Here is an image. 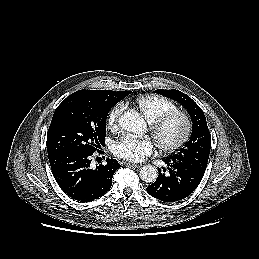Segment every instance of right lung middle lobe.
Instances as JSON below:
<instances>
[{
  "label": "right lung middle lobe",
  "instance_id": "1",
  "mask_svg": "<svg viewBox=\"0 0 259 259\" xmlns=\"http://www.w3.org/2000/svg\"><path fill=\"white\" fill-rule=\"evenodd\" d=\"M118 101L73 93L55 110L47 133L48 158L72 152H95L106 136V118Z\"/></svg>",
  "mask_w": 259,
  "mask_h": 259
}]
</instances>
